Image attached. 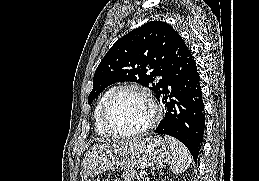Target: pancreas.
<instances>
[{"label": "pancreas", "instance_id": "cf45deb5", "mask_svg": "<svg viewBox=\"0 0 259 181\" xmlns=\"http://www.w3.org/2000/svg\"><path fill=\"white\" fill-rule=\"evenodd\" d=\"M122 177L124 181H140L139 174L134 170L123 172Z\"/></svg>", "mask_w": 259, "mask_h": 181}]
</instances>
